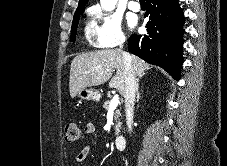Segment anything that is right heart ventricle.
<instances>
[{"instance_id":"1","label":"right heart ventricle","mask_w":227,"mask_h":166,"mask_svg":"<svg viewBox=\"0 0 227 166\" xmlns=\"http://www.w3.org/2000/svg\"><path fill=\"white\" fill-rule=\"evenodd\" d=\"M85 34H86L87 39L91 41L93 34H94V27L91 22L87 23V25L85 27Z\"/></svg>"}]
</instances>
